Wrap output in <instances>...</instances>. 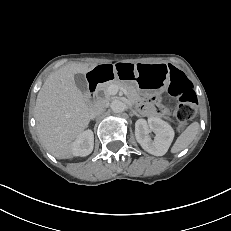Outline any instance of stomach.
Masks as SVG:
<instances>
[{"label":"stomach","mask_w":231,"mask_h":231,"mask_svg":"<svg viewBox=\"0 0 231 231\" xmlns=\"http://www.w3.org/2000/svg\"><path fill=\"white\" fill-rule=\"evenodd\" d=\"M126 67L129 79H134L136 86L147 94L164 92L170 83V69L164 63H135L124 65L119 63L116 68Z\"/></svg>","instance_id":"stomach-1"}]
</instances>
